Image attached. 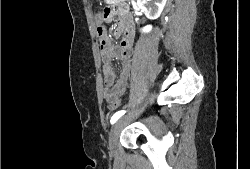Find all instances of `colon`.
I'll use <instances>...</instances> for the list:
<instances>
[{
	"mask_svg": "<svg viewBox=\"0 0 250 169\" xmlns=\"http://www.w3.org/2000/svg\"><path fill=\"white\" fill-rule=\"evenodd\" d=\"M95 35L100 36V51H105V34L103 33V27H96ZM106 95H113V93H106ZM107 102L109 108H117L118 104H121V99L117 97H108Z\"/></svg>",
	"mask_w": 250,
	"mask_h": 169,
	"instance_id": "colon-1",
	"label": "colon"
}]
</instances>
